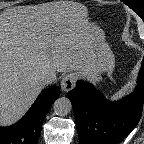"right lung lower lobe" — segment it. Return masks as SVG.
<instances>
[{
	"label": "right lung lower lobe",
	"mask_w": 144,
	"mask_h": 144,
	"mask_svg": "<svg viewBox=\"0 0 144 144\" xmlns=\"http://www.w3.org/2000/svg\"><path fill=\"white\" fill-rule=\"evenodd\" d=\"M59 94L58 86L42 91L20 121L12 126L0 127V144H37L43 119Z\"/></svg>",
	"instance_id": "98d812e1"
}]
</instances>
